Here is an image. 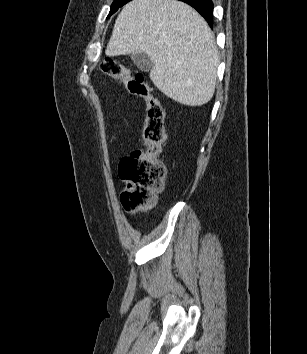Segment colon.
<instances>
[{
    "label": "colon",
    "instance_id": "1",
    "mask_svg": "<svg viewBox=\"0 0 307 354\" xmlns=\"http://www.w3.org/2000/svg\"><path fill=\"white\" fill-rule=\"evenodd\" d=\"M100 68L105 75L122 82L132 95L146 103L145 148L123 158L119 166V175L126 182L121 194L124 210L130 214L146 211L155 205L164 183L165 167L158 159L164 142V111L142 74L134 73L110 57L102 61Z\"/></svg>",
    "mask_w": 307,
    "mask_h": 354
}]
</instances>
